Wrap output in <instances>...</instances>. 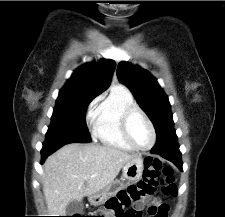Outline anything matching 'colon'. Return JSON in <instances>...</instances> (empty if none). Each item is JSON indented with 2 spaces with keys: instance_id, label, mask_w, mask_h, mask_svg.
<instances>
[{
  "instance_id": "obj_1",
  "label": "colon",
  "mask_w": 225,
  "mask_h": 217,
  "mask_svg": "<svg viewBox=\"0 0 225 217\" xmlns=\"http://www.w3.org/2000/svg\"><path fill=\"white\" fill-rule=\"evenodd\" d=\"M161 185L163 192L168 196H176L177 187L171 167L164 165L160 160L146 157L144 160L143 179L136 185L120 191L116 197L110 199L106 205L105 216L93 217H141L140 211L134 206L144 198L152 196ZM168 206H150V217H167ZM80 217V216H75Z\"/></svg>"
}]
</instances>
